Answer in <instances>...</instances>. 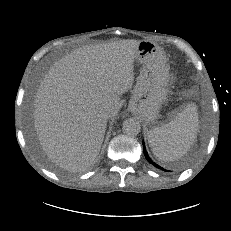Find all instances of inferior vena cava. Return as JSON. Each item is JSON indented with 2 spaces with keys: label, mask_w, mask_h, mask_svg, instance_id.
<instances>
[{
  "label": "inferior vena cava",
  "mask_w": 231,
  "mask_h": 231,
  "mask_svg": "<svg viewBox=\"0 0 231 231\" xmlns=\"http://www.w3.org/2000/svg\"><path fill=\"white\" fill-rule=\"evenodd\" d=\"M101 117L104 118V119H107L110 117V112L108 109H104L102 112H101Z\"/></svg>",
  "instance_id": "1"
}]
</instances>
